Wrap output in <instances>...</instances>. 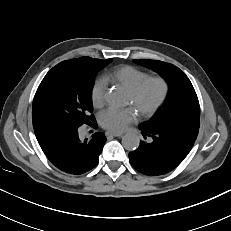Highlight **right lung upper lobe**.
<instances>
[{
	"instance_id": "obj_1",
	"label": "right lung upper lobe",
	"mask_w": 231,
	"mask_h": 231,
	"mask_svg": "<svg viewBox=\"0 0 231 231\" xmlns=\"http://www.w3.org/2000/svg\"><path fill=\"white\" fill-rule=\"evenodd\" d=\"M81 58H89V57H81Z\"/></svg>"
}]
</instances>
